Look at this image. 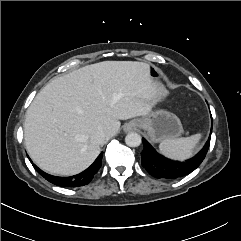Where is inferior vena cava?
Listing matches in <instances>:
<instances>
[{
    "label": "inferior vena cava",
    "instance_id": "1",
    "mask_svg": "<svg viewBox=\"0 0 241 241\" xmlns=\"http://www.w3.org/2000/svg\"><path fill=\"white\" fill-rule=\"evenodd\" d=\"M90 140L95 145H102L106 140L105 133L103 131H96L91 135Z\"/></svg>",
    "mask_w": 241,
    "mask_h": 241
}]
</instances>
